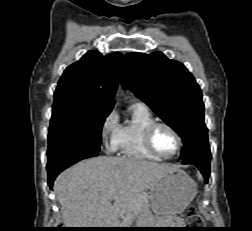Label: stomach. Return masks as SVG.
Masks as SVG:
<instances>
[{
    "instance_id": "stomach-1",
    "label": "stomach",
    "mask_w": 252,
    "mask_h": 231,
    "mask_svg": "<svg viewBox=\"0 0 252 231\" xmlns=\"http://www.w3.org/2000/svg\"><path fill=\"white\" fill-rule=\"evenodd\" d=\"M196 194L194 180L184 171L177 170L157 179L150 187L148 199L156 215L168 217L182 213Z\"/></svg>"
}]
</instances>
